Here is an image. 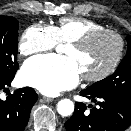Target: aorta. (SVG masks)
<instances>
[{
  "label": "aorta",
  "mask_w": 131,
  "mask_h": 131,
  "mask_svg": "<svg viewBox=\"0 0 131 131\" xmlns=\"http://www.w3.org/2000/svg\"><path fill=\"white\" fill-rule=\"evenodd\" d=\"M58 52L61 51V46L56 47ZM57 111L61 116H70L74 112V103L70 99H62L57 104Z\"/></svg>",
  "instance_id": "762f6f07"
}]
</instances>
